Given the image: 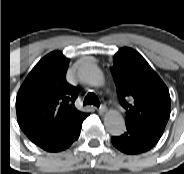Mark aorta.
Instances as JSON below:
<instances>
[{"label":"aorta","instance_id":"762f6f07","mask_svg":"<svg viewBox=\"0 0 184 174\" xmlns=\"http://www.w3.org/2000/svg\"><path fill=\"white\" fill-rule=\"evenodd\" d=\"M86 77L88 83L92 86L98 87L104 84V75L95 65L89 67ZM104 125L113 135H120L125 130V120L116 110H110L105 114Z\"/></svg>","mask_w":184,"mask_h":174}]
</instances>
